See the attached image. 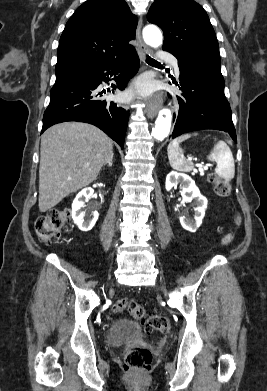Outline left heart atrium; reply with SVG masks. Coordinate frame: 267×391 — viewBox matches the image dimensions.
Listing matches in <instances>:
<instances>
[{
    "label": "left heart atrium",
    "instance_id": "39dd6f15",
    "mask_svg": "<svg viewBox=\"0 0 267 391\" xmlns=\"http://www.w3.org/2000/svg\"><path fill=\"white\" fill-rule=\"evenodd\" d=\"M136 88L143 95H147L151 91V86L147 81H140L139 83H137Z\"/></svg>",
    "mask_w": 267,
    "mask_h": 391
}]
</instances>
